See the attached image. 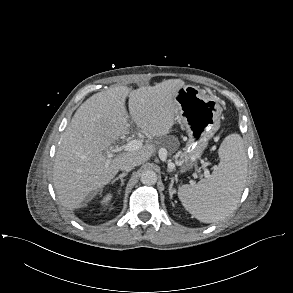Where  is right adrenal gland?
<instances>
[{"label": "right adrenal gland", "instance_id": "2a0ac1e0", "mask_svg": "<svg viewBox=\"0 0 293 293\" xmlns=\"http://www.w3.org/2000/svg\"><path fill=\"white\" fill-rule=\"evenodd\" d=\"M128 173H122L120 174L118 177H116L115 179L112 180L111 184H114L117 180L120 179L121 181V187L124 185V177L127 176Z\"/></svg>", "mask_w": 293, "mask_h": 293}]
</instances>
